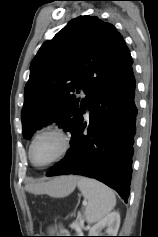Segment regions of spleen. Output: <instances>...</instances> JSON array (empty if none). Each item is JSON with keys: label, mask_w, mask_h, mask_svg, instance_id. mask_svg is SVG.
Segmentation results:
<instances>
[{"label": "spleen", "mask_w": 158, "mask_h": 237, "mask_svg": "<svg viewBox=\"0 0 158 237\" xmlns=\"http://www.w3.org/2000/svg\"><path fill=\"white\" fill-rule=\"evenodd\" d=\"M77 185L87 200L85 219L88 223L102 220L114 208L116 197L108 186L86 177H79Z\"/></svg>", "instance_id": "3e777b00"}]
</instances>
